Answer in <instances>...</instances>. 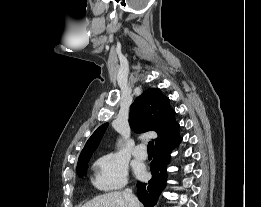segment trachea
Returning a JSON list of instances; mask_svg holds the SVG:
<instances>
[{
	"label": "trachea",
	"mask_w": 261,
	"mask_h": 207,
	"mask_svg": "<svg viewBox=\"0 0 261 207\" xmlns=\"http://www.w3.org/2000/svg\"><path fill=\"white\" fill-rule=\"evenodd\" d=\"M147 149H148V152H151V153L153 152V150H154V143H153V141H150L148 143Z\"/></svg>",
	"instance_id": "trachea-1"
}]
</instances>
